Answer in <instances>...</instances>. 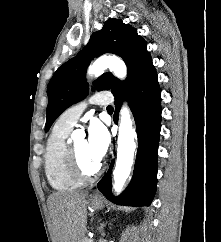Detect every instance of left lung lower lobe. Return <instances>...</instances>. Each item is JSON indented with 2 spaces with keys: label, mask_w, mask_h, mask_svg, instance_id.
<instances>
[{
  "label": "left lung lower lobe",
  "mask_w": 221,
  "mask_h": 242,
  "mask_svg": "<svg viewBox=\"0 0 221 242\" xmlns=\"http://www.w3.org/2000/svg\"><path fill=\"white\" fill-rule=\"evenodd\" d=\"M115 97L114 122L117 124L122 100L127 99L132 110L138 135V151L134 174L129 186L118 197L111 193V170L97 184L107 199L120 205L149 206L157 184V152L161 123V91L153 65L138 74Z\"/></svg>",
  "instance_id": "0a47b994"
}]
</instances>
